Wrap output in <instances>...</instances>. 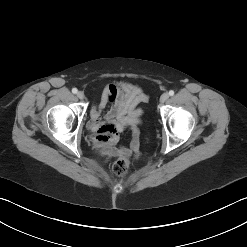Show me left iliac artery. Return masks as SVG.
Returning <instances> with one entry per match:
<instances>
[{
    "label": "left iliac artery",
    "mask_w": 247,
    "mask_h": 247,
    "mask_svg": "<svg viewBox=\"0 0 247 247\" xmlns=\"http://www.w3.org/2000/svg\"><path fill=\"white\" fill-rule=\"evenodd\" d=\"M169 95H170V96H173V95H174V91H173V90H170V91H169Z\"/></svg>",
    "instance_id": "left-iliac-artery-1"
}]
</instances>
